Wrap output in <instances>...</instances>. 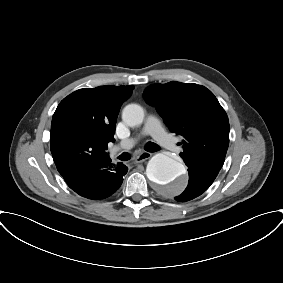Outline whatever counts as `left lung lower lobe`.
<instances>
[{"mask_svg":"<svg viewBox=\"0 0 283 283\" xmlns=\"http://www.w3.org/2000/svg\"><path fill=\"white\" fill-rule=\"evenodd\" d=\"M189 183L186 190L175 199L179 202H186L192 200L202 193H204L212 184L216 177L188 168Z\"/></svg>","mask_w":283,"mask_h":283,"instance_id":"1","label":"left lung lower lobe"}]
</instances>
